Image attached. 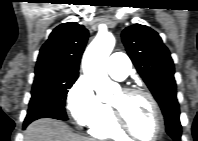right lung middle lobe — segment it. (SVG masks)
<instances>
[{
    "label": "right lung middle lobe",
    "instance_id": "1",
    "mask_svg": "<svg viewBox=\"0 0 198 141\" xmlns=\"http://www.w3.org/2000/svg\"><path fill=\"white\" fill-rule=\"evenodd\" d=\"M78 75L38 74L35 75L32 97L24 123L29 124L39 118L67 120L65 99L68 89Z\"/></svg>",
    "mask_w": 198,
    "mask_h": 141
}]
</instances>
